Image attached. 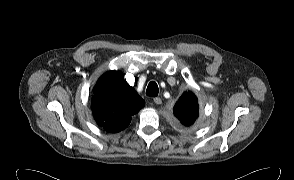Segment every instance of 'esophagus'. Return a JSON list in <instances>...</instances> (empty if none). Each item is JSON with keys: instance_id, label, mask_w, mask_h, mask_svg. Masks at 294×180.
<instances>
[{"instance_id": "1", "label": "esophagus", "mask_w": 294, "mask_h": 180, "mask_svg": "<svg viewBox=\"0 0 294 180\" xmlns=\"http://www.w3.org/2000/svg\"><path fill=\"white\" fill-rule=\"evenodd\" d=\"M153 101H154V103L157 104V105H160V104L162 103V100H161V98H159V97H155V98L153 99Z\"/></svg>"}]
</instances>
